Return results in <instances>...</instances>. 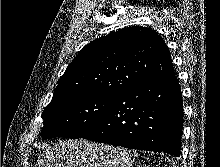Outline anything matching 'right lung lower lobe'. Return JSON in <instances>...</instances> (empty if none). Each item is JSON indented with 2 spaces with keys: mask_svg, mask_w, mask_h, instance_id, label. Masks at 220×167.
Wrapping results in <instances>:
<instances>
[{
  "mask_svg": "<svg viewBox=\"0 0 220 167\" xmlns=\"http://www.w3.org/2000/svg\"><path fill=\"white\" fill-rule=\"evenodd\" d=\"M183 117L182 93L172 72L116 94L80 138L179 157Z\"/></svg>",
  "mask_w": 220,
  "mask_h": 167,
  "instance_id": "1",
  "label": "right lung lower lobe"
}]
</instances>
